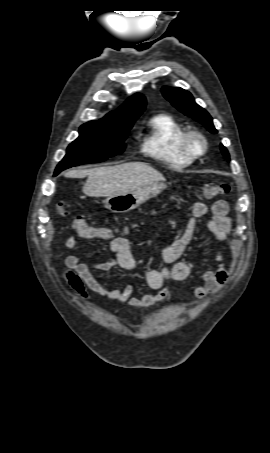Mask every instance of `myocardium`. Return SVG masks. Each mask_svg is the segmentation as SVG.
<instances>
[{
    "label": "myocardium",
    "mask_w": 270,
    "mask_h": 453,
    "mask_svg": "<svg viewBox=\"0 0 270 453\" xmlns=\"http://www.w3.org/2000/svg\"><path fill=\"white\" fill-rule=\"evenodd\" d=\"M199 141L201 146L196 148L194 142ZM180 146L184 153L192 159L203 156L208 150L207 138L197 130L185 131L180 139Z\"/></svg>",
    "instance_id": "f54148a6"
}]
</instances>
